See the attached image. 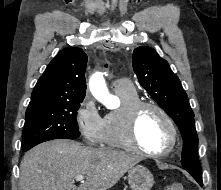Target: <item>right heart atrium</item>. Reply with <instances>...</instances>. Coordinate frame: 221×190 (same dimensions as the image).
I'll use <instances>...</instances> for the list:
<instances>
[{
    "label": "right heart atrium",
    "mask_w": 221,
    "mask_h": 190,
    "mask_svg": "<svg viewBox=\"0 0 221 190\" xmlns=\"http://www.w3.org/2000/svg\"><path fill=\"white\" fill-rule=\"evenodd\" d=\"M75 121L85 142L90 145L103 143L104 122L94 101L86 96L79 104Z\"/></svg>",
    "instance_id": "d8ad5b80"
}]
</instances>
